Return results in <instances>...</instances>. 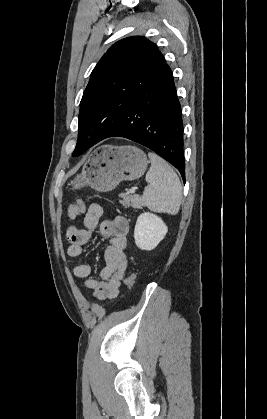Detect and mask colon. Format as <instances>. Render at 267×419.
<instances>
[{
	"label": "colon",
	"mask_w": 267,
	"mask_h": 419,
	"mask_svg": "<svg viewBox=\"0 0 267 419\" xmlns=\"http://www.w3.org/2000/svg\"><path fill=\"white\" fill-rule=\"evenodd\" d=\"M85 209V204L82 200H78L76 203L71 204L68 207V216L74 218L81 214ZM135 274L131 273L125 280L127 289H131L135 283Z\"/></svg>",
	"instance_id": "obj_1"
}]
</instances>
